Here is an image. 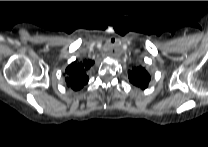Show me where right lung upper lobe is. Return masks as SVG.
Instances as JSON below:
<instances>
[{"label": "right lung upper lobe", "instance_id": "obj_1", "mask_svg": "<svg viewBox=\"0 0 208 147\" xmlns=\"http://www.w3.org/2000/svg\"><path fill=\"white\" fill-rule=\"evenodd\" d=\"M94 64V61H87L78 63L77 61L71 63L65 73L67 74L65 80L67 85L73 90H80L85 84L88 83L87 70Z\"/></svg>", "mask_w": 208, "mask_h": 147}]
</instances>
